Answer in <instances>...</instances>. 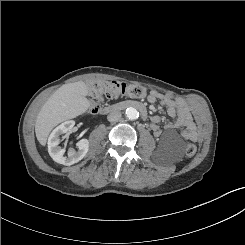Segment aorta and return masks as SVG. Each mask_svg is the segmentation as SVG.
<instances>
[{"instance_id": "aorta-1", "label": "aorta", "mask_w": 245, "mask_h": 245, "mask_svg": "<svg viewBox=\"0 0 245 245\" xmlns=\"http://www.w3.org/2000/svg\"><path fill=\"white\" fill-rule=\"evenodd\" d=\"M125 115L127 119L135 120L139 117V112L137 111V109L129 107L126 109Z\"/></svg>"}]
</instances>
